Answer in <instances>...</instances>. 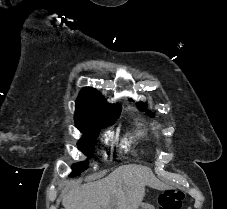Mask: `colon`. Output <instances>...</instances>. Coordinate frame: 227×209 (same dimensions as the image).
<instances>
[{"instance_id": "colon-1", "label": "colon", "mask_w": 227, "mask_h": 209, "mask_svg": "<svg viewBox=\"0 0 227 209\" xmlns=\"http://www.w3.org/2000/svg\"><path fill=\"white\" fill-rule=\"evenodd\" d=\"M183 198L180 190L167 189L159 196L158 209H181Z\"/></svg>"}]
</instances>
